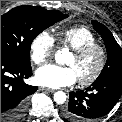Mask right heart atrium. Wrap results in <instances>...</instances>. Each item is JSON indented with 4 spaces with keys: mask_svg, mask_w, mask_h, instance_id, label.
Wrapping results in <instances>:
<instances>
[{
    "mask_svg": "<svg viewBox=\"0 0 122 122\" xmlns=\"http://www.w3.org/2000/svg\"><path fill=\"white\" fill-rule=\"evenodd\" d=\"M55 39L47 31H41L30 44V57L35 64L48 60L54 52Z\"/></svg>",
    "mask_w": 122,
    "mask_h": 122,
    "instance_id": "right-heart-atrium-1",
    "label": "right heart atrium"
}]
</instances>
